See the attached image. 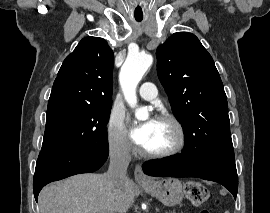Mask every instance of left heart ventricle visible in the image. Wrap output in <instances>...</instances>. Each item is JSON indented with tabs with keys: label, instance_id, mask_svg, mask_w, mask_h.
<instances>
[{
	"label": "left heart ventricle",
	"instance_id": "b2bd125f",
	"mask_svg": "<svg viewBox=\"0 0 270 213\" xmlns=\"http://www.w3.org/2000/svg\"><path fill=\"white\" fill-rule=\"evenodd\" d=\"M176 141L174 127L169 122L156 120L143 149L151 152L162 151L170 148Z\"/></svg>",
	"mask_w": 270,
	"mask_h": 213
}]
</instances>
